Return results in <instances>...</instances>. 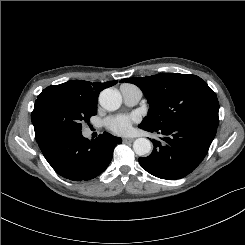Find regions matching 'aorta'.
<instances>
[{"instance_id":"aorta-1","label":"aorta","mask_w":245,"mask_h":245,"mask_svg":"<svg viewBox=\"0 0 245 245\" xmlns=\"http://www.w3.org/2000/svg\"><path fill=\"white\" fill-rule=\"evenodd\" d=\"M100 105L108 110H117L122 103V97L118 90L113 88L104 89L99 96ZM134 152L139 156L148 154L151 150V142L146 138H138L133 143Z\"/></svg>"}]
</instances>
